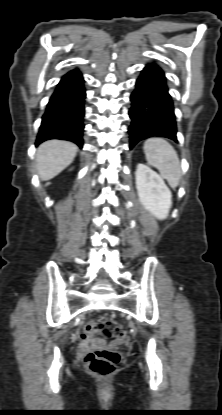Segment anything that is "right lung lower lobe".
<instances>
[{
	"mask_svg": "<svg viewBox=\"0 0 222 415\" xmlns=\"http://www.w3.org/2000/svg\"><path fill=\"white\" fill-rule=\"evenodd\" d=\"M85 98L84 79L80 71L75 69L65 74L42 117L36 145L49 139H62L82 147Z\"/></svg>",
	"mask_w": 222,
	"mask_h": 415,
	"instance_id": "98d812e1",
	"label": "right lung lower lobe"
}]
</instances>
